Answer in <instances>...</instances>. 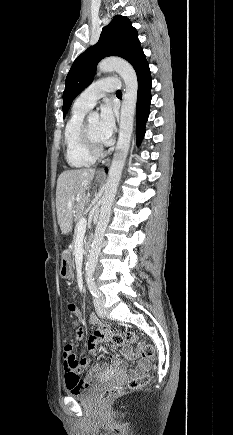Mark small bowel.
Segmentation results:
<instances>
[{"label": "small bowel", "mask_w": 233, "mask_h": 435, "mask_svg": "<svg viewBox=\"0 0 233 435\" xmlns=\"http://www.w3.org/2000/svg\"><path fill=\"white\" fill-rule=\"evenodd\" d=\"M75 315L80 318L81 312L79 309H74ZM90 322L97 327L94 334L89 337L87 340L86 347L90 352H94L96 349L97 344L100 342L107 341L109 339V331L105 324L101 322L99 317L96 314H92L90 316ZM83 339V333H79L76 335V340H82ZM122 353L129 357L131 360L137 362L136 370L143 369L144 365L141 362L140 357L135 353L132 347L123 345L121 347ZM77 362V365H74V362ZM88 366H90V371L88 373V376L86 377V382H91L95 378L104 375L108 372L112 371H121L124 369V364L120 362L117 358L113 356L112 362L110 364L104 363L102 365L99 364H91L90 361L86 358L77 359V356L75 354L68 355L64 359V382L66 387H68L67 382V376L69 374H76L77 376L80 375L84 369H86Z\"/></svg>", "instance_id": "c3829d8e"}]
</instances>
